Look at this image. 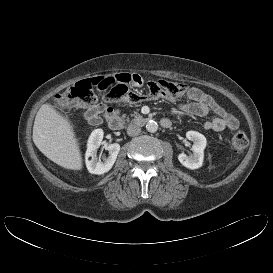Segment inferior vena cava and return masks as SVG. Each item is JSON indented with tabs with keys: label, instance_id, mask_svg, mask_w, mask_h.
Wrapping results in <instances>:
<instances>
[{
	"label": "inferior vena cava",
	"instance_id": "obj_1",
	"mask_svg": "<svg viewBox=\"0 0 273 273\" xmlns=\"http://www.w3.org/2000/svg\"><path fill=\"white\" fill-rule=\"evenodd\" d=\"M140 132H141V128L137 125L131 124L127 128V134L129 136H137L140 134Z\"/></svg>",
	"mask_w": 273,
	"mask_h": 273
}]
</instances>
